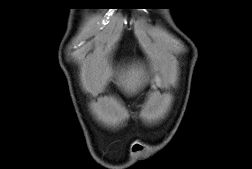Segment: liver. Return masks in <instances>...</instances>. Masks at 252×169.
I'll return each mask as SVG.
<instances>
[{
  "label": "liver",
  "mask_w": 252,
  "mask_h": 169,
  "mask_svg": "<svg viewBox=\"0 0 252 169\" xmlns=\"http://www.w3.org/2000/svg\"><path fill=\"white\" fill-rule=\"evenodd\" d=\"M116 75L117 85L127 94H135L149 81V75L141 63L128 65L116 73L104 68L100 63L92 66L88 72L85 84L88 88L100 91L109 77Z\"/></svg>",
  "instance_id": "obj_1"
}]
</instances>
